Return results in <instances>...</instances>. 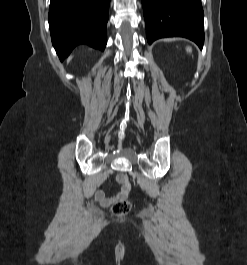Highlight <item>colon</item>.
<instances>
[{"mask_svg":"<svg viewBox=\"0 0 247 265\" xmlns=\"http://www.w3.org/2000/svg\"><path fill=\"white\" fill-rule=\"evenodd\" d=\"M119 181L122 185V189L129 192L131 189V184L128 181V179L124 176H120ZM130 208H131V204L126 198L118 199L112 205V213L117 217H124L128 214V212L130 211Z\"/></svg>","mask_w":247,"mask_h":265,"instance_id":"colon-1","label":"colon"}]
</instances>
